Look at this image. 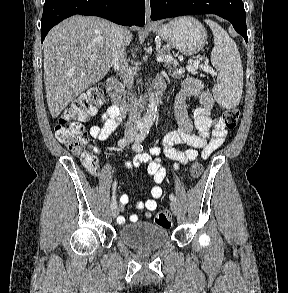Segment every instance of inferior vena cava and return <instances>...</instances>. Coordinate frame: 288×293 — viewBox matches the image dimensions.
I'll use <instances>...</instances> for the list:
<instances>
[{
  "label": "inferior vena cava",
  "instance_id": "1",
  "mask_svg": "<svg viewBox=\"0 0 288 293\" xmlns=\"http://www.w3.org/2000/svg\"><path fill=\"white\" fill-rule=\"evenodd\" d=\"M125 33V28H117L114 39L113 67L119 72V76L127 88V93L130 100L129 115L125 125V135L134 137L137 134V127L141 119V114L139 111L137 98L132 90L134 76L125 56Z\"/></svg>",
  "mask_w": 288,
  "mask_h": 293
}]
</instances>
